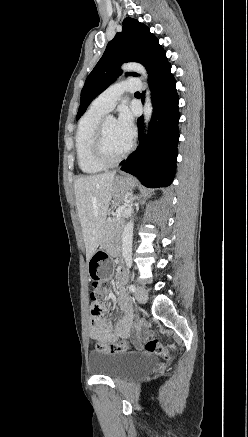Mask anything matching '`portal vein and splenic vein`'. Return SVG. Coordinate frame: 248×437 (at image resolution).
Listing matches in <instances>:
<instances>
[{"label": "portal vein and splenic vein", "mask_w": 248, "mask_h": 437, "mask_svg": "<svg viewBox=\"0 0 248 437\" xmlns=\"http://www.w3.org/2000/svg\"><path fill=\"white\" fill-rule=\"evenodd\" d=\"M125 210V206H120L117 210H116V215L120 216V214Z\"/></svg>", "instance_id": "18ae733b"}]
</instances>
